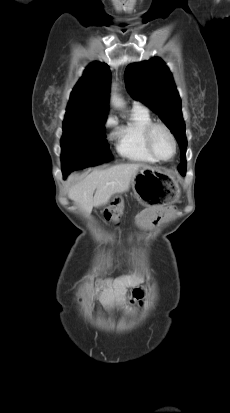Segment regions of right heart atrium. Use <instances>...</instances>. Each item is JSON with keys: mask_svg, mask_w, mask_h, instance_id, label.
<instances>
[{"mask_svg": "<svg viewBox=\"0 0 230 413\" xmlns=\"http://www.w3.org/2000/svg\"><path fill=\"white\" fill-rule=\"evenodd\" d=\"M115 124V121H114V119L113 118H108L106 121H105V127L106 128H110V127H112L113 125Z\"/></svg>", "mask_w": 230, "mask_h": 413, "instance_id": "d8ad5b80", "label": "right heart atrium"}]
</instances>
